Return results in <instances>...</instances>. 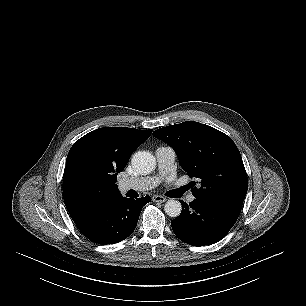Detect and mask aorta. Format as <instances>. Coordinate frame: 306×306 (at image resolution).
I'll return each instance as SVG.
<instances>
[{
	"label": "aorta",
	"mask_w": 306,
	"mask_h": 306,
	"mask_svg": "<svg viewBox=\"0 0 306 306\" xmlns=\"http://www.w3.org/2000/svg\"><path fill=\"white\" fill-rule=\"evenodd\" d=\"M131 163L133 169L141 175L151 173L156 166L155 157L146 151L135 153L132 157ZM164 210L168 216L176 218L181 214L182 206L179 201L170 199L165 203Z\"/></svg>",
	"instance_id": "762f6f07"
}]
</instances>
